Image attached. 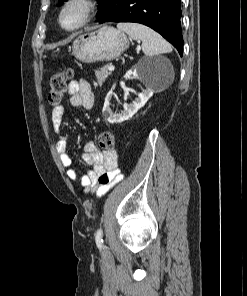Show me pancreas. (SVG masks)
Returning <instances> with one entry per match:
<instances>
[{"label":"pancreas","mask_w":247,"mask_h":296,"mask_svg":"<svg viewBox=\"0 0 247 296\" xmlns=\"http://www.w3.org/2000/svg\"><path fill=\"white\" fill-rule=\"evenodd\" d=\"M111 74L108 70V65H104L102 68L95 71L96 79L99 85H102L106 78Z\"/></svg>","instance_id":"cf45deb5"}]
</instances>
